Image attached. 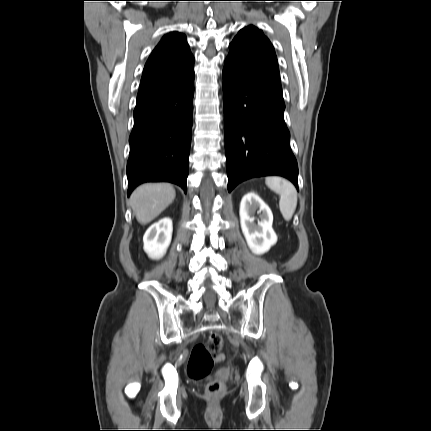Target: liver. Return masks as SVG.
<instances>
[{"label":"liver","instance_id":"liver-1","mask_svg":"<svg viewBox=\"0 0 431 431\" xmlns=\"http://www.w3.org/2000/svg\"><path fill=\"white\" fill-rule=\"evenodd\" d=\"M175 190L167 183H147L134 190L130 206L139 223L145 225L158 217L175 199Z\"/></svg>","mask_w":431,"mask_h":431}]
</instances>
